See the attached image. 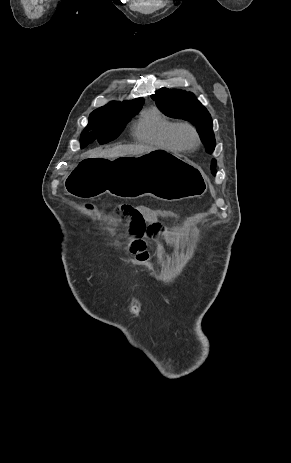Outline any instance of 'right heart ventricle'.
<instances>
[{
  "instance_id": "right-heart-ventricle-1",
  "label": "right heart ventricle",
  "mask_w": 291,
  "mask_h": 463,
  "mask_svg": "<svg viewBox=\"0 0 291 463\" xmlns=\"http://www.w3.org/2000/svg\"><path fill=\"white\" fill-rule=\"evenodd\" d=\"M175 124L173 120L153 107L142 113L134 126L133 133L141 143L179 151L180 148L172 136Z\"/></svg>"
}]
</instances>
